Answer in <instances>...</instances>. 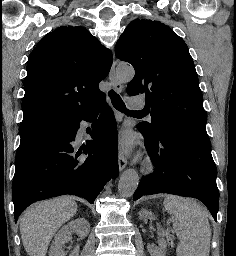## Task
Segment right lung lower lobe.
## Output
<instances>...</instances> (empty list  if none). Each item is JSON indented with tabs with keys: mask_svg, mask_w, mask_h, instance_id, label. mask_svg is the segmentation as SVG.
Returning a JSON list of instances; mask_svg holds the SVG:
<instances>
[{
	"mask_svg": "<svg viewBox=\"0 0 236 256\" xmlns=\"http://www.w3.org/2000/svg\"><path fill=\"white\" fill-rule=\"evenodd\" d=\"M91 140L80 146V121H92ZM85 154V155H84ZM12 184L14 215L33 202L73 194L93 203L104 185L119 174L117 124L111 108L102 101L84 110L71 122L20 144Z\"/></svg>",
	"mask_w": 236,
	"mask_h": 256,
	"instance_id": "right-lung-lower-lobe-1",
	"label": "right lung lower lobe"
}]
</instances>
